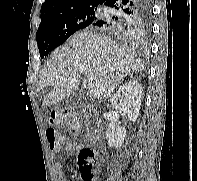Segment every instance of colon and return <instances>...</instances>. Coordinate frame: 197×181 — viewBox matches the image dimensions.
I'll return each mask as SVG.
<instances>
[{"instance_id":"obj_1","label":"colon","mask_w":197,"mask_h":181,"mask_svg":"<svg viewBox=\"0 0 197 181\" xmlns=\"http://www.w3.org/2000/svg\"><path fill=\"white\" fill-rule=\"evenodd\" d=\"M50 126L46 129V138L49 142L50 148L57 151L61 148L62 137L57 133L54 125L60 124L61 126L76 130L79 127V119L75 114H68L63 112H55L50 116ZM97 163L95 154L91 149H81L78 154L79 171L83 181H93L95 170L94 166Z\"/></svg>"}]
</instances>
